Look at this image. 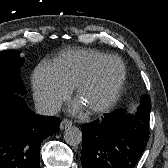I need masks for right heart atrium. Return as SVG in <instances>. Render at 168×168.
<instances>
[{"label":"right heart atrium","instance_id":"right-heart-atrium-1","mask_svg":"<svg viewBox=\"0 0 168 168\" xmlns=\"http://www.w3.org/2000/svg\"><path fill=\"white\" fill-rule=\"evenodd\" d=\"M32 86L36 105L44 113L56 111L70 95V88L59 79L53 67L46 63L35 68Z\"/></svg>","mask_w":168,"mask_h":168}]
</instances>
